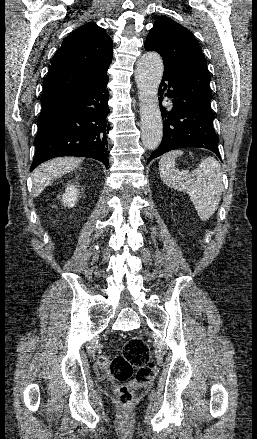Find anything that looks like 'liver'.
Here are the masks:
<instances>
[{"label":"liver","mask_w":257,"mask_h":439,"mask_svg":"<svg viewBox=\"0 0 257 439\" xmlns=\"http://www.w3.org/2000/svg\"><path fill=\"white\" fill-rule=\"evenodd\" d=\"M81 159L74 157H58L43 163L33 173V195L37 197L55 179L77 168Z\"/></svg>","instance_id":"1"}]
</instances>
